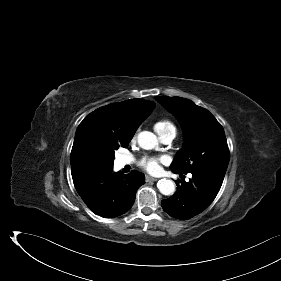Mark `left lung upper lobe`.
I'll return each mask as SVG.
<instances>
[{
    "label": "left lung upper lobe",
    "instance_id": "1",
    "mask_svg": "<svg viewBox=\"0 0 281 281\" xmlns=\"http://www.w3.org/2000/svg\"><path fill=\"white\" fill-rule=\"evenodd\" d=\"M180 121L185 143L172 162L171 170L184 173L204 170L226 172L230 153L223 127L206 109L181 97H155Z\"/></svg>",
    "mask_w": 281,
    "mask_h": 281
}]
</instances>
